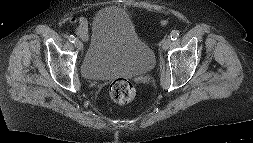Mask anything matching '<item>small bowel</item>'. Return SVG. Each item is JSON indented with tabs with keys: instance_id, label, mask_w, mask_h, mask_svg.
<instances>
[{
	"instance_id": "1",
	"label": "small bowel",
	"mask_w": 253,
	"mask_h": 143,
	"mask_svg": "<svg viewBox=\"0 0 253 143\" xmlns=\"http://www.w3.org/2000/svg\"><path fill=\"white\" fill-rule=\"evenodd\" d=\"M71 22L76 25L79 36L82 39H85L88 31V23L86 18L83 16L72 17Z\"/></svg>"
}]
</instances>
